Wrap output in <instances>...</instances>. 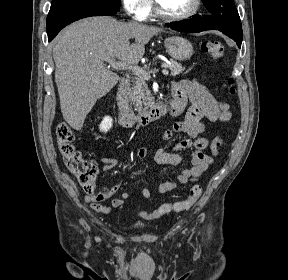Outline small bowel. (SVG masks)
<instances>
[{
  "label": "small bowel",
  "instance_id": "small-bowel-1",
  "mask_svg": "<svg viewBox=\"0 0 288 280\" xmlns=\"http://www.w3.org/2000/svg\"><path fill=\"white\" fill-rule=\"evenodd\" d=\"M172 98L182 104L176 115L185 113V117L183 121L176 122L167 129L163 133V139L170 140L175 134H183L185 137L174 144L172 151L165 148L158 149L154 159L158 164L177 166L183 161L179 151L184 150L188 152L190 164L189 167L179 171L175 181L162 183L158 187L160 194L172 192L180 185L197 181L205 174L213 161V157L218 152L219 137L209 139L204 135V132L207 126L217 121L227 122L231 118L229 105L215 99L206 87L196 80L185 79L174 82L172 84ZM188 101L190 106L186 108ZM206 149H210V153H206ZM135 154L138 159H144L147 156V149L139 147ZM101 160L104 163V172L112 170L117 164L116 159L108 156H102ZM122 183L123 180L112 187L104 188L96 195L87 194L85 201L90 203L91 208L95 211L108 214L113 209L121 207L124 201L130 197V193L123 191L119 197L112 199L110 206H104L99 202L113 197L121 189ZM141 194L147 199L152 196L147 187L141 188Z\"/></svg>",
  "mask_w": 288,
  "mask_h": 280
}]
</instances>
